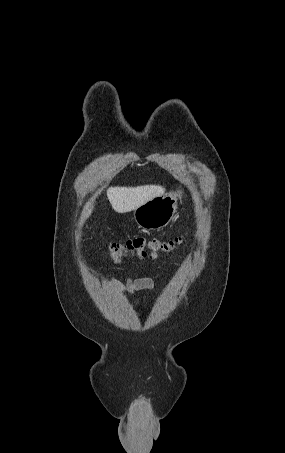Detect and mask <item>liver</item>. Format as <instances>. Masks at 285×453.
I'll use <instances>...</instances> for the list:
<instances>
[{
	"label": "liver",
	"instance_id": "liver-1",
	"mask_svg": "<svg viewBox=\"0 0 285 453\" xmlns=\"http://www.w3.org/2000/svg\"><path fill=\"white\" fill-rule=\"evenodd\" d=\"M165 188L159 185H145L137 187H110L107 190V197L112 208L118 213H127L145 204L149 200L163 195ZM92 209L86 208V216H89Z\"/></svg>",
	"mask_w": 285,
	"mask_h": 453
}]
</instances>
